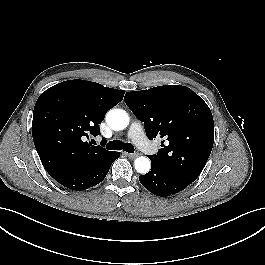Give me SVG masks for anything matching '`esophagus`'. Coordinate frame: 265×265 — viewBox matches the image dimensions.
<instances>
[{
  "mask_svg": "<svg viewBox=\"0 0 265 265\" xmlns=\"http://www.w3.org/2000/svg\"><path fill=\"white\" fill-rule=\"evenodd\" d=\"M138 155H139L138 153H126V156H128L131 159L136 158Z\"/></svg>",
  "mask_w": 265,
  "mask_h": 265,
  "instance_id": "esophagus-1",
  "label": "esophagus"
}]
</instances>
